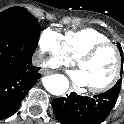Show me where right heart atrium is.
<instances>
[{
    "mask_svg": "<svg viewBox=\"0 0 124 124\" xmlns=\"http://www.w3.org/2000/svg\"><path fill=\"white\" fill-rule=\"evenodd\" d=\"M38 49L42 54L48 55L44 59L46 65L50 67H68L70 65V58L64 49L63 37L53 29L47 28L40 33Z\"/></svg>",
    "mask_w": 124,
    "mask_h": 124,
    "instance_id": "d8ad5b80",
    "label": "right heart atrium"
}]
</instances>
